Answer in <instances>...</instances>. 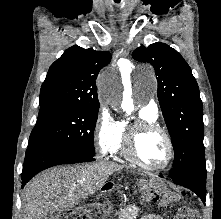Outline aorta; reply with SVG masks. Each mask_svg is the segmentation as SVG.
I'll use <instances>...</instances> for the list:
<instances>
[{
	"mask_svg": "<svg viewBox=\"0 0 221 219\" xmlns=\"http://www.w3.org/2000/svg\"><path fill=\"white\" fill-rule=\"evenodd\" d=\"M123 69L125 71L131 70V63L127 60L122 62ZM100 95L103 99L109 100L111 102H118L119 97L116 92V79L111 74H103L100 77ZM121 107L128 114H130L133 110V101L131 98L123 99L121 103Z\"/></svg>",
	"mask_w": 221,
	"mask_h": 219,
	"instance_id": "aorta-1",
	"label": "aorta"
}]
</instances>
